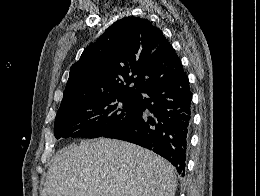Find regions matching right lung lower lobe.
Here are the masks:
<instances>
[{
  "instance_id": "98d812e1",
  "label": "right lung lower lobe",
  "mask_w": 260,
  "mask_h": 196,
  "mask_svg": "<svg viewBox=\"0 0 260 196\" xmlns=\"http://www.w3.org/2000/svg\"><path fill=\"white\" fill-rule=\"evenodd\" d=\"M137 100L142 116L103 137L124 140L152 150L170 161L184 176L192 100L187 74L182 70L172 80L147 89Z\"/></svg>"
}]
</instances>
